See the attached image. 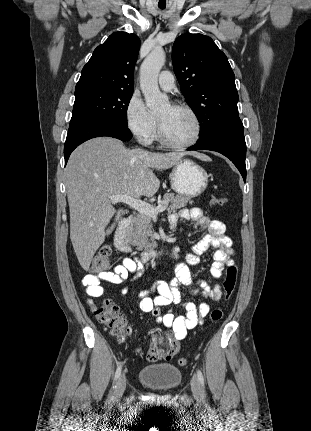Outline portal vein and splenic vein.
I'll list each match as a JSON object with an SVG mask.
<instances>
[{
  "label": "portal vein and splenic vein",
  "instance_id": "portal-vein-and-splenic-vein-1",
  "mask_svg": "<svg viewBox=\"0 0 311 431\" xmlns=\"http://www.w3.org/2000/svg\"><path fill=\"white\" fill-rule=\"evenodd\" d=\"M109 200H111L112 204H118V202H123V204H128L130 208H134L140 214H147V216L157 217L159 212H165L168 206H151V204H146V202H142V200H135L132 196H127V194H123V196H109Z\"/></svg>",
  "mask_w": 311,
  "mask_h": 431
}]
</instances>
